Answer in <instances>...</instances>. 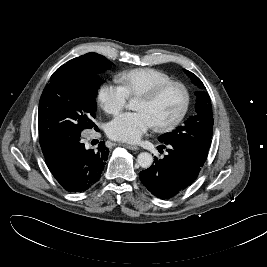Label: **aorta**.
I'll use <instances>...</instances> for the list:
<instances>
[{"mask_svg":"<svg viewBox=\"0 0 267 267\" xmlns=\"http://www.w3.org/2000/svg\"><path fill=\"white\" fill-rule=\"evenodd\" d=\"M131 102H130V107H131ZM137 162L142 168H149L152 163H153V157L150 153L148 152H142L138 155L137 157Z\"/></svg>","mask_w":267,"mask_h":267,"instance_id":"1","label":"aorta"}]
</instances>
